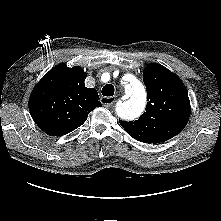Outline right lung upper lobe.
<instances>
[{
	"label": "right lung upper lobe",
	"instance_id": "obj_1",
	"mask_svg": "<svg viewBox=\"0 0 221 221\" xmlns=\"http://www.w3.org/2000/svg\"><path fill=\"white\" fill-rule=\"evenodd\" d=\"M86 73L59 64L34 87L29 111L35 123L50 136H61L81 126L88 114L102 106L94 88H86Z\"/></svg>",
	"mask_w": 221,
	"mask_h": 221
}]
</instances>
